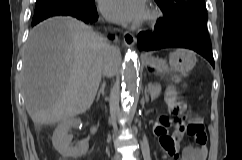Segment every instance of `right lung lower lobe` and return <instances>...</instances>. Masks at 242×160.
Listing matches in <instances>:
<instances>
[{
    "label": "right lung lower lobe",
    "mask_w": 242,
    "mask_h": 160,
    "mask_svg": "<svg viewBox=\"0 0 242 160\" xmlns=\"http://www.w3.org/2000/svg\"><path fill=\"white\" fill-rule=\"evenodd\" d=\"M53 16H72L85 23H94L98 19V14L94 2L88 7H68V6H54L43 9L34 13L32 19V26L38 24L42 20Z\"/></svg>",
    "instance_id": "1"
}]
</instances>
